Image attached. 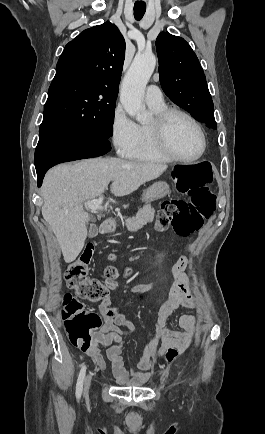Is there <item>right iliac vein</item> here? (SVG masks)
<instances>
[{"label": "right iliac vein", "instance_id": "1", "mask_svg": "<svg viewBox=\"0 0 265 434\" xmlns=\"http://www.w3.org/2000/svg\"><path fill=\"white\" fill-rule=\"evenodd\" d=\"M91 386V375H87V377L85 378V383H84V396L88 395V391L89 388Z\"/></svg>", "mask_w": 265, "mask_h": 434}]
</instances>
